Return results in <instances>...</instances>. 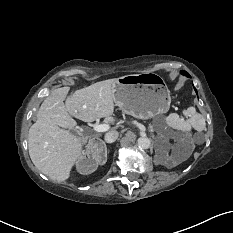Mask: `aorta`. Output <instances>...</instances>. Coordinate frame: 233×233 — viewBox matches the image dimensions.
<instances>
[{"instance_id":"obj_1","label":"aorta","mask_w":233,"mask_h":233,"mask_svg":"<svg viewBox=\"0 0 233 233\" xmlns=\"http://www.w3.org/2000/svg\"><path fill=\"white\" fill-rule=\"evenodd\" d=\"M151 145V140L148 137H139L137 140V146L140 149H148Z\"/></svg>"}]
</instances>
